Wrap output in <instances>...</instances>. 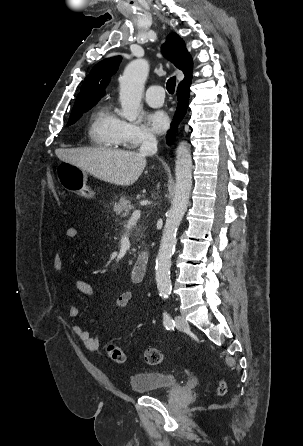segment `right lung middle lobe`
Wrapping results in <instances>:
<instances>
[{
    "label": "right lung middle lobe",
    "instance_id": "obj_1",
    "mask_svg": "<svg viewBox=\"0 0 303 446\" xmlns=\"http://www.w3.org/2000/svg\"><path fill=\"white\" fill-rule=\"evenodd\" d=\"M95 104H90V105H86L83 107H79L76 108L74 110H72L69 121L67 123V125H72L74 124L82 115L83 112L88 111L89 109H91Z\"/></svg>",
    "mask_w": 303,
    "mask_h": 446
}]
</instances>
